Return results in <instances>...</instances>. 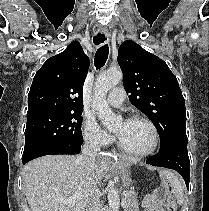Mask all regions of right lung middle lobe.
Here are the masks:
<instances>
[{"label":"right lung middle lobe","instance_id":"obj_1","mask_svg":"<svg viewBox=\"0 0 209 211\" xmlns=\"http://www.w3.org/2000/svg\"><path fill=\"white\" fill-rule=\"evenodd\" d=\"M82 110H40L27 113L22 159L56 144L83 143Z\"/></svg>","mask_w":209,"mask_h":211}]
</instances>
